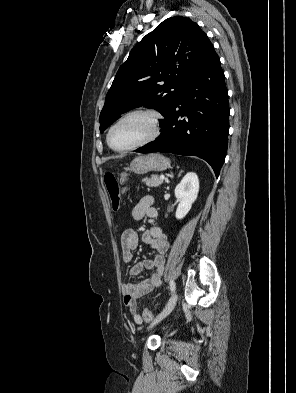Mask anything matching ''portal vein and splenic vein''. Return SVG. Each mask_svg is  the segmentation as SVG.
Returning <instances> with one entry per match:
<instances>
[{"label":"portal vein and splenic vein","mask_w":296,"mask_h":393,"mask_svg":"<svg viewBox=\"0 0 296 393\" xmlns=\"http://www.w3.org/2000/svg\"><path fill=\"white\" fill-rule=\"evenodd\" d=\"M160 179L164 180L165 176L164 175H160Z\"/></svg>","instance_id":"1"}]
</instances>
